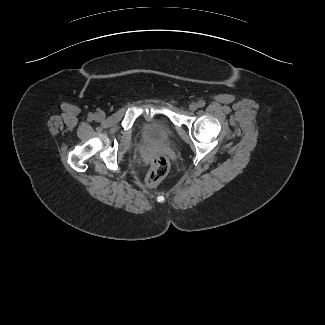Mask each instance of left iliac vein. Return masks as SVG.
<instances>
[{
    "instance_id": "left-iliac-vein-1",
    "label": "left iliac vein",
    "mask_w": 325,
    "mask_h": 325,
    "mask_svg": "<svg viewBox=\"0 0 325 325\" xmlns=\"http://www.w3.org/2000/svg\"><path fill=\"white\" fill-rule=\"evenodd\" d=\"M197 108H198V104L195 103V102L191 103L190 106H189V109H190V111H192V112L196 111Z\"/></svg>"
}]
</instances>
